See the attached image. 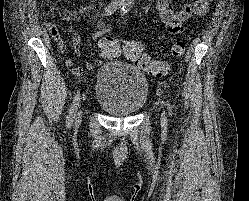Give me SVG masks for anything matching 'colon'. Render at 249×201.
I'll use <instances>...</instances> for the list:
<instances>
[{
  "label": "colon",
  "mask_w": 249,
  "mask_h": 201,
  "mask_svg": "<svg viewBox=\"0 0 249 201\" xmlns=\"http://www.w3.org/2000/svg\"><path fill=\"white\" fill-rule=\"evenodd\" d=\"M99 50L101 56L105 59L116 58L123 52L128 60L153 76H163L169 70L167 62L151 58L144 52L141 44L136 40H128L120 43L113 37H103L99 41ZM184 50V44L177 42L172 46L171 53L174 57H180L183 55Z\"/></svg>",
  "instance_id": "obj_1"
}]
</instances>
